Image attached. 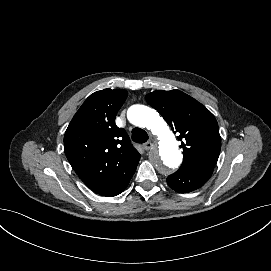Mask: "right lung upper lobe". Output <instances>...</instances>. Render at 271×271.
Masks as SVG:
<instances>
[{"instance_id":"1","label":"right lung upper lobe","mask_w":271,"mask_h":271,"mask_svg":"<svg viewBox=\"0 0 271 271\" xmlns=\"http://www.w3.org/2000/svg\"><path fill=\"white\" fill-rule=\"evenodd\" d=\"M127 98L123 89H104L91 94L74 115L65 135L64 150L82 181L97 194H104L124 181L141 155L129 136L115 124Z\"/></svg>"}]
</instances>
